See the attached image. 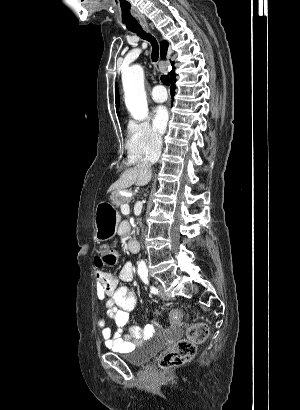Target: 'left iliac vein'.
<instances>
[{"label": "left iliac vein", "mask_w": 300, "mask_h": 410, "mask_svg": "<svg viewBox=\"0 0 300 410\" xmlns=\"http://www.w3.org/2000/svg\"><path fill=\"white\" fill-rule=\"evenodd\" d=\"M158 289H159V297L163 300H169L168 295L164 292V288L162 285H158Z\"/></svg>", "instance_id": "obj_1"}]
</instances>
